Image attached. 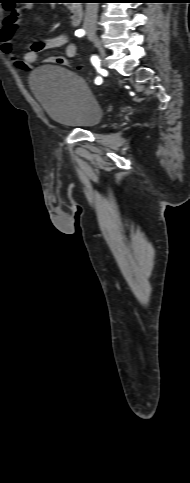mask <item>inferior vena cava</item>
I'll return each instance as SVG.
<instances>
[{
    "mask_svg": "<svg viewBox=\"0 0 190 483\" xmlns=\"http://www.w3.org/2000/svg\"><path fill=\"white\" fill-rule=\"evenodd\" d=\"M98 3H86L84 28L96 30Z\"/></svg>",
    "mask_w": 190,
    "mask_h": 483,
    "instance_id": "inferior-vena-cava-1",
    "label": "inferior vena cava"
}]
</instances>
